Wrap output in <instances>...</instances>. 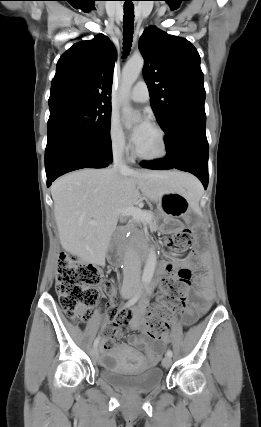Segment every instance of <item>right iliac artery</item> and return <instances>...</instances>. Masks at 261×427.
I'll use <instances>...</instances> for the list:
<instances>
[{
	"mask_svg": "<svg viewBox=\"0 0 261 427\" xmlns=\"http://www.w3.org/2000/svg\"><path fill=\"white\" fill-rule=\"evenodd\" d=\"M143 286V285H142ZM139 298H140V291L136 294V295H134L126 304H125V306L126 307H130V306H132V305H134L138 300H139ZM98 344H99V337H97L96 339H95V341H94V347H97L98 346Z\"/></svg>",
	"mask_w": 261,
	"mask_h": 427,
	"instance_id": "obj_1",
	"label": "right iliac artery"
}]
</instances>
